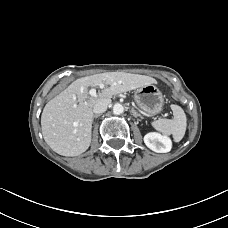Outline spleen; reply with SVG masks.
Masks as SVG:
<instances>
[{"label":"spleen","mask_w":228,"mask_h":228,"mask_svg":"<svg viewBox=\"0 0 228 228\" xmlns=\"http://www.w3.org/2000/svg\"><path fill=\"white\" fill-rule=\"evenodd\" d=\"M173 119H158L152 126L165 135H172L175 142H179L185 134L187 119L184 110L178 105H171Z\"/></svg>","instance_id":"spleen-1"}]
</instances>
